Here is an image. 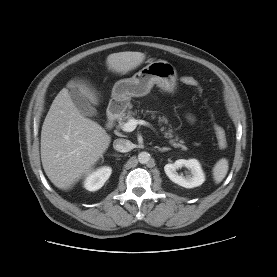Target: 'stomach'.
I'll return each instance as SVG.
<instances>
[{
	"label": "stomach",
	"mask_w": 277,
	"mask_h": 277,
	"mask_svg": "<svg viewBox=\"0 0 277 277\" xmlns=\"http://www.w3.org/2000/svg\"><path fill=\"white\" fill-rule=\"evenodd\" d=\"M176 81L177 71L171 63L151 61L131 78L121 79L114 84L108 107L122 113L129 107L132 97L147 95L155 84L164 92L173 93Z\"/></svg>",
	"instance_id": "obj_1"
}]
</instances>
